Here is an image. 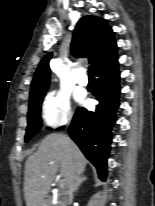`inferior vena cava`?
I'll return each instance as SVG.
<instances>
[{
	"mask_svg": "<svg viewBox=\"0 0 155 206\" xmlns=\"http://www.w3.org/2000/svg\"><path fill=\"white\" fill-rule=\"evenodd\" d=\"M76 177H77V173H76L75 169L72 168L71 174H70V181L68 184V195H69V202L68 203H70L72 200V196H73V192H74V188H75Z\"/></svg>",
	"mask_w": 155,
	"mask_h": 206,
	"instance_id": "inferior-vena-cava-1",
	"label": "inferior vena cava"
}]
</instances>
